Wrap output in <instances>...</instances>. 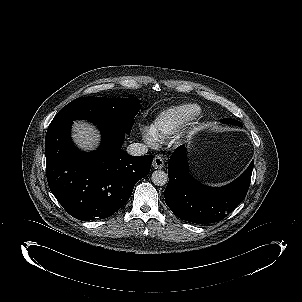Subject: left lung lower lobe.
<instances>
[{
    "mask_svg": "<svg viewBox=\"0 0 302 302\" xmlns=\"http://www.w3.org/2000/svg\"><path fill=\"white\" fill-rule=\"evenodd\" d=\"M254 161L232 183L212 188L199 183L190 174L185 146H179L168 164L169 182L164 191L165 202L180 219L207 224L222 220L245 198Z\"/></svg>",
    "mask_w": 302,
    "mask_h": 302,
    "instance_id": "obj_1",
    "label": "left lung lower lobe"
}]
</instances>
